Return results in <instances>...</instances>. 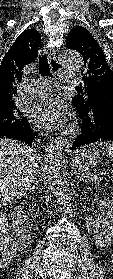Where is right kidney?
Instances as JSON below:
<instances>
[{"label":"right kidney","instance_id":"1","mask_svg":"<svg viewBox=\"0 0 113 279\" xmlns=\"http://www.w3.org/2000/svg\"><path fill=\"white\" fill-rule=\"evenodd\" d=\"M24 209L22 206H17L11 213L12 229L16 232L18 244L23 247L29 245L32 234V226L26 222ZM26 222L25 224H23Z\"/></svg>","mask_w":113,"mask_h":279}]
</instances>
